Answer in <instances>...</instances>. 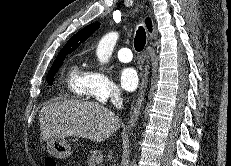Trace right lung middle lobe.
<instances>
[{"instance_id":"obj_1","label":"right lung middle lobe","mask_w":231,"mask_h":166,"mask_svg":"<svg viewBox=\"0 0 231 166\" xmlns=\"http://www.w3.org/2000/svg\"><path fill=\"white\" fill-rule=\"evenodd\" d=\"M67 54H60L54 61L53 65L51 66L48 74H47V83L51 85L54 80V76L57 73L58 69L61 67L63 64L64 59L66 58Z\"/></svg>"}]
</instances>
